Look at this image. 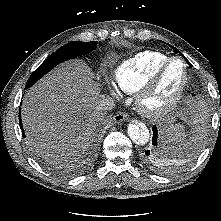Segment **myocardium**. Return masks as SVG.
Wrapping results in <instances>:
<instances>
[{"mask_svg":"<svg viewBox=\"0 0 221 221\" xmlns=\"http://www.w3.org/2000/svg\"><path fill=\"white\" fill-rule=\"evenodd\" d=\"M180 62L183 66L184 76L182 84L177 93L165 104L157 107H149L147 100L154 94L158 88L162 78L169 67L175 63ZM189 84V70L186 62L179 57H172L167 60L152 76L151 78L137 91L136 107L138 111L148 118H160L167 115L174 110L182 100Z\"/></svg>","mask_w":221,"mask_h":221,"instance_id":"obj_1","label":"myocardium"}]
</instances>
